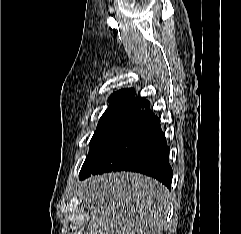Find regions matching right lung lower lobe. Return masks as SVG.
Masks as SVG:
<instances>
[{"label":"right lung lower lobe","mask_w":241,"mask_h":234,"mask_svg":"<svg viewBox=\"0 0 241 234\" xmlns=\"http://www.w3.org/2000/svg\"><path fill=\"white\" fill-rule=\"evenodd\" d=\"M168 155L159 118L145 101L101 143L79 178L110 171H134L151 176L170 189L173 171Z\"/></svg>","instance_id":"1"}]
</instances>
